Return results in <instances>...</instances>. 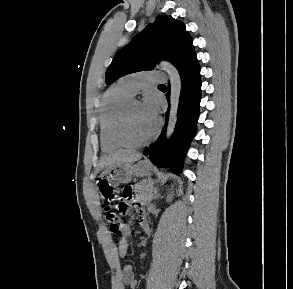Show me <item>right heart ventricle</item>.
<instances>
[{"instance_id":"e07e8e85","label":"right heart ventricle","mask_w":293,"mask_h":289,"mask_svg":"<svg viewBox=\"0 0 293 289\" xmlns=\"http://www.w3.org/2000/svg\"><path fill=\"white\" fill-rule=\"evenodd\" d=\"M132 97L133 95L120 82L103 96L99 127L101 147L105 152H112L123 146L116 137V124L122 108Z\"/></svg>"}]
</instances>
